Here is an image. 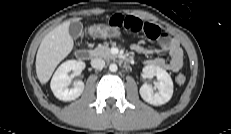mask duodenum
I'll use <instances>...</instances> for the list:
<instances>
[{"instance_id":"duodenum-1","label":"duodenum","mask_w":231,"mask_h":134,"mask_svg":"<svg viewBox=\"0 0 231 134\" xmlns=\"http://www.w3.org/2000/svg\"><path fill=\"white\" fill-rule=\"evenodd\" d=\"M76 56L79 60L85 61L88 60L91 56V53L88 49L82 48L76 52ZM126 61H129V58H125Z\"/></svg>"}]
</instances>
